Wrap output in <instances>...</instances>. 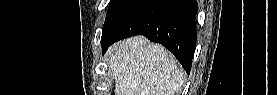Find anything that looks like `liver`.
<instances>
[{"label":"liver","instance_id":"liver-1","mask_svg":"<svg viewBox=\"0 0 277 95\" xmlns=\"http://www.w3.org/2000/svg\"><path fill=\"white\" fill-rule=\"evenodd\" d=\"M108 57L115 95H177L183 86L175 57L144 36L113 45Z\"/></svg>","mask_w":277,"mask_h":95}]
</instances>
